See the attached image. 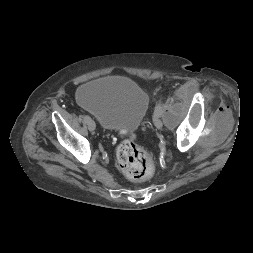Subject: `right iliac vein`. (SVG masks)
I'll list each match as a JSON object with an SVG mask.
<instances>
[{"label":"right iliac vein","instance_id":"right-iliac-vein-1","mask_svg":"<svg viewBox=\"0 0 253 253\" xmlns=\"http://www.w3.org/2000/svg\"><path fill=\"white\" fill-rule=\"evenodd\" d=\"M87 125H88V129L90 131H94L95 128H96L95 122L93 120H91V119L89 121H87Z\"/></svg>","mask_w":253,"mask_h":253}]
</instances>
